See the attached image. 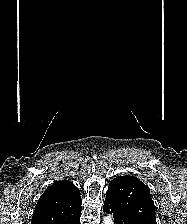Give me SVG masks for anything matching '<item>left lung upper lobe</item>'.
Here are the masks:
<instances>
[{
	"label": "left lung upper lobe",
	"instance_id": "1",
	"mask_svg": "<svg viewBox=\"0 0 187 224\" xmlns=\"http://www.w3.org/2000/svg\"><path fill=\"white\" fill-rule=\"evenodd\" d=\"M124 217L134 224H157L149 187L135 176L114 178L106 194Z\"/></svg>",
	"mask_w": 187,
	"mask_h": 224
}]
</instances>
